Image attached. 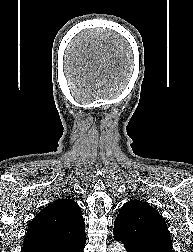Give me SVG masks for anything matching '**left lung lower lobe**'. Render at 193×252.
<instances>
[{"mask_svg":"<svg viewBox=\"0 0 193 252\" xmlns=\"http://www.w3.org/2000/svg\"><path fill=\"white\" fill-rule=\"evenodd\" d=\"M127 252H173L168 248L162 246H152V247H144L136 250H127Z\"/></svg>","mask_w":193,"mask_h":252,"instance_id":"1","label":"left lung lower lobe"}]
</instances>
